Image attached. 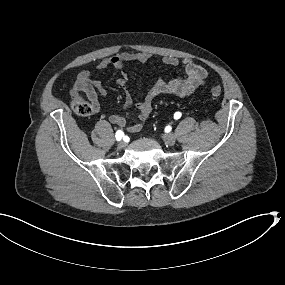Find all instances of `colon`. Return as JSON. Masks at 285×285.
<instances>
[{
    "label": "colon",
    "mask_w": 285,
    "mask_h": 285,
    "mask_svg": "<svg viewBox=\"0 0 285 285\" xmlns=\"http://www.w3.org/2000/svg\"><path fill=\"white\" fill-rule=\"evenodd\" d=\"M210 92L214 98H217L222 94V88L214 85L211 87ZM72 109L82 117H90L96 112L93 104L83 98L74 99L72 101Z\"/></svg>",
    "instance_id": "obj_1"
}]
</instances>
